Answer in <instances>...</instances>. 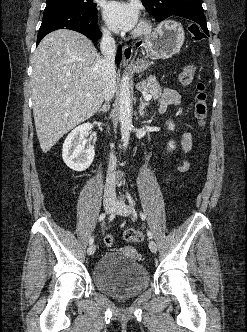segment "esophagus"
<instances>
[{"mask_svg": "<svg viewBox=\"0 0 247 332\" xmlns=\"http://www.w3.org/2000/svg\"><path fill=\"white\" fill-rule=\"evenodd\" d=\"M132 56H133V48L130 47L129 45H124L122 51V64L124 66L128 65L132 59Z\"/></svg>", "mask_w": 247, "mask_h": 332, "instance_id": "obj_1", "label": "esophagus"}]
</instances>
